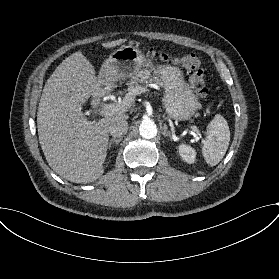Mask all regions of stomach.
Here are the masks:
<instances>
[{"instance_id": "stomach-1", "label": "stomach", "mask_w": 279, "mask_h": 279, "mask_svg": "<svg viewBox=\"0 0 279 279\" xmlns=\"http://www.w3.org/2000/svg\"><path fill=\"white\" fill-rule=\"evenodd\" d=\"M141 69L151 72L163 89L162 105L167 115L178 122L190 121L201 108L199 97L185 80L183 70L173 64L155 62L143 50L124 45L109 55L100 75L115 80L133 78Z\"/></svg>"}]
</instances>
